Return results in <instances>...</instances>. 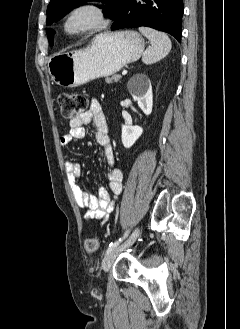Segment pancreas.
Returning a JSON list of instances; mask_svg holds the SVG:
<instances>
[{"label":"pancreas","mask_w":240,"mask_h":329,"mask_svg":"<svg viewBox=\"0 0 240 329\" xmlns=\"http://www.w3.org/2000/svg\"><path fill=\"white\" fill-rule=\"evenodd\" d=\"M120 78H121V76L120 75H114V76H112V77H107L106 79H105V81H106V83H113V82H118L119 80H120Z\"/></svg>","instance_id":"pancreas-1"}]
</instances>
